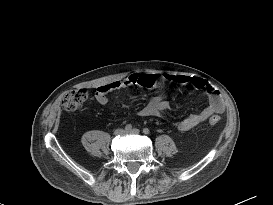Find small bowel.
<instances>
[{
	"mask_svg": "<svg viewBox=\"0 0 273 205\" xmlns=\"http://www.w3.org/2000/svg\"><path fill=\"white\" fill-rule=\"evenodd\" d=\"M159 81L173 82L181 84H191L197 89L205 90L209 96V103L199 113H193L177 122V127L181 131H188L214 114H221L225 110V103L221 94L205 79L189 76L179 73H169L162 75H141L140 73H131L122 79H116L111 82L102 84L97 87L95 92V99L98 104L105 106L108 104V93L116 89L128 86H139L143 88H152ZM170 109V103L165 95H158L152 97L139 111L142 116H159L163 111Z\"/></svg>",
	"mask_w": 273,
	"mask_h": 205,
	"instance_id": "1",
	"label": "small bowel"
}]
</instances>
